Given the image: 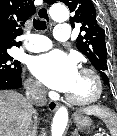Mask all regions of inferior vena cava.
Masks as SVG:
<instances>
[{"mask_svg":"<svg viewBox=\"0 0 117 136\" xmlns=\"http://www.w3.org/2000/svg\"><path fill=\"white\" fill-rule=\"evenodd\" d=\"M27 100L36 106H45L47 104L46 89L39 83H32L26 92ZM30 136H35L32 130ZM29 136V135H28Z\"/></svg>","mask_w":117,"mask_h":136,"instance_id":"602c4592","label":"inferior vena cava"}]
</instances>
